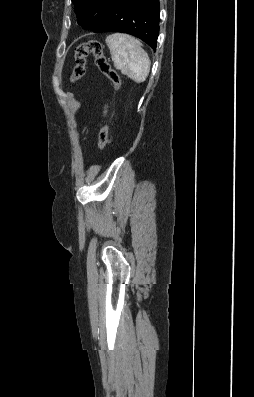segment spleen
Masks as SVG:
<instances>
[{"label":"spleen","mask_w":254,"mask_h":397,"mask_svg":"<svg viewBox=\"0 0 254 397\" xmlns=\"http://www.w3.org/2000/svg\"><path fill=\"white\" fill-rule=\"evenodd\" d=\"M112 61L116 69L136 83H142L150 72V59L139 40L115 33L106 38Z\"/></svg>","instance_id":"3e777b00"}]
</instances>
